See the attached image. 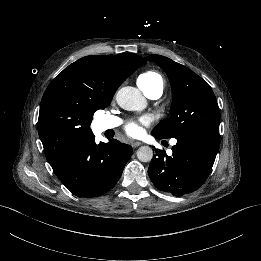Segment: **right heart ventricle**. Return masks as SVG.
Returning <instances> with one entry per match:
<instances>
[{"instance_id": "right-heart-ventricle-1", "label": "right heart ventricle", "mask_w": 261, "mask_h": 261, "mask_svg": "<svg viewBox=\"0 0 261 261\" xmlns=\"http://www.w3.org/2000/svg\"><path fill=\"white\" fill-rule=\"evenodd\" d=\"M137 82L143 94L154 89H160L163 91L165 85L163 76L155 70H148L142 73L138 77Z\"/></svg>"}]
</instances>
